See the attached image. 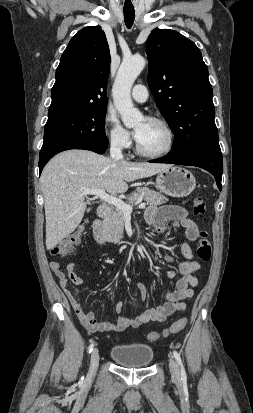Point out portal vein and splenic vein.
<instances>
[{
	"mask_svg": "<svg viewBox=\"0 0 253 413\" xmlns=\"http://www.w3.org/2000/svg\"><path fill=\"white\" fill-rule=\"evenodd\" d=\"M82 191L84 194L96 195L101 200L115 206L116 208H119L120 210H122L124 215H130L132 213V210H133L132 206L126 204L123 200L113 195L107 194L104 189H82ZM145 207H146V203H141L138 206L139 209H144Z\"/></svg>",
	"mask_w": 253,
	"mask_h": 413,
	"instance_id": "portal-vein-and-splenic-vein-1",
	"label": "portal vein and splenic vein"
}]
</instances>
